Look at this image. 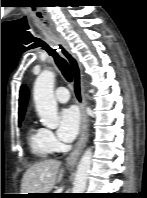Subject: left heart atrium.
<instances>
[{
    "mask_svg": "<svg viewBox=\"0 0 147 198\" xmlns=\"http://www.w3.org/2000/svg\"><path fill=\"white\" fill-rule=\"evenodd\" d=\"M80 128V114L75 106L65 107L59 114L58 136L63 141L73 140Z\"/></svg>",
    "mask_w": 147,
    "mask_h": 198,
    "instance_id": "obj_1",
    "label": "left heart atrium"
}]
</instances>
